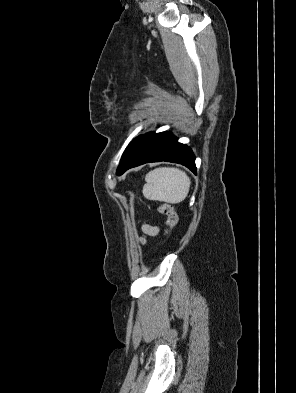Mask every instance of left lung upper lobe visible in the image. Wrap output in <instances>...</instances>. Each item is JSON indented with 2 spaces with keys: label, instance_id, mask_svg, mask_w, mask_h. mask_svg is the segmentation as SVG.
<instances>
[{
  "label": "left lung upper lobe",
  "instance_id": "left-lung-upper-lobe-1",
  "mask_svg": "<svg viewBox=\"0 0 296 393\" xmlns=\"http://www.w3.org/2000/svg\"><path fill=\"white\" fill-rule=\"evenodd\" d=\"M139 138H140V136L137 137L136 139H134V140L131 142V144H129V146L126 148V150H125V152H124V154H123V156H122L120 165H119V167H118V169H117V174H119V172L123 169V167H124V165H125V163H126L128 157H129L130 153L132 152V150H133V148L135 147V145H136L137 141L139 140Z\"/></svg>",
  "mask_w": 296,
  "mask_h": 393
}]
</instances>
